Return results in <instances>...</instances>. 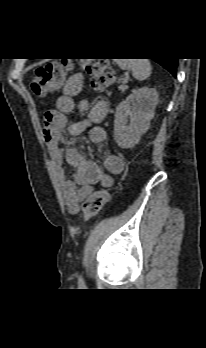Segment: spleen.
Instances as JSON below:
<instances>
[{"mask_svg": "<svg viewBox=\"0 0 206 348\" xmlns=\"http://www.w3.org/2000/svg\"><path fill=\"white\" fill-rule=\"evenodd\" d=\"M116 63L123 70L130 69L137 80H145L151 74V64L148 59H116Z\"/></svg>", "mask_w": 206, "mask_h": 348, "instance_id": "3e777b00", "label": "spleen"}]
</instances>
